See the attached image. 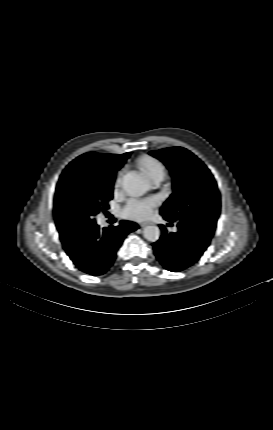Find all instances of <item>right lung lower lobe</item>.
Masks as SVG:
<instances>
[{"label": "right lung lower lobe", "mask_w": 273, "mask_h": 430, "mask_svg": "<svg viewBox=\"0 0 273 430\" xmlns=\"http://www.w3.org/2000/svg\"><path fill=\"white\" fill-rule=\"evenodd\" d=\"M137 228V224L128 221H120L117 227L103 229L93 223L63 248L81 271L93 276L103 275L114 264L126 235Z\"/></svg>", "instance_id": "1"}]
</instances>
